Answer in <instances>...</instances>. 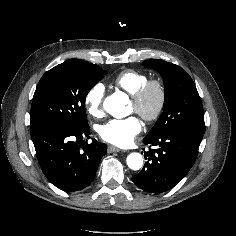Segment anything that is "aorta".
<instances>
[{
	"mask_svg": "<svg viewBox=\"0 0 236 236\" xmlns=\"http://www.w3.org/2000/svg\"><path fill=\"white\" fill-rule=\"evenodd\" d=\"M127 102V95L122 92H116L105 99L103 107L111 116L120 118L123 116ZM127 165L132 170H139L143 166L142 155L136 152L129 154L127 156Z\"/></svg>",
	"mask_w": 236,
	"mask_h": 236,
	"instance_id": "1",
	"label": "aorta"
}]
</instances>
